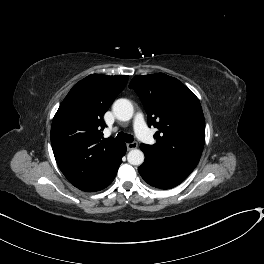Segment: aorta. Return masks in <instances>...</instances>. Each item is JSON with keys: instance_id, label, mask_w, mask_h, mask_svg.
Masks as SVG:
<instances>
[{"instance_id": "1", "label": "aorta", "mask_w": 264, "mask_h": 264, "mask_svg": "<svg viewBox=\"0 0 264 264\" xmlns=\"http://www.w3.org/2000/svg\"><path fill=\"white\" fill-rule=\"evenodd\" d=\"M113 113L118 120L128 121L133 116L132 103L124 98L118 99L113 103ZM127 160L131 165H141L144 162V153L139 149L129 151Z\"/></svg>"}]
</instances>
